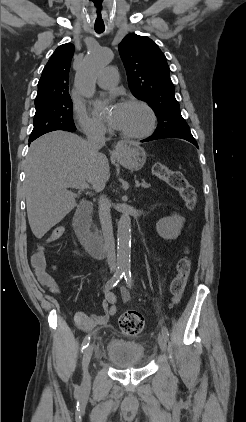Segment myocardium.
I'll list each match as a JSON object with an SVG mask.
<instances>
[{"label":"myocardium","mask_w":246,"mask_h":422,"mask_svg":"<svg viewBox=\"0 0 246 422\" xmlns=\"http://www.w3.org/2000/svg\"><path fill=\"white\" fill-rule=\"evenodd\" d=\"M124 104L137 105L141 107L147 114L148 122L146 127L139 132H127L120 130V135L124 138L134 140L143 139L150 136L154 132L157 124V116L152 106L145 100L136 97L128 98L127 100H125Z\"/></svg>","instance_id":"obj_1"}]
</instances>
